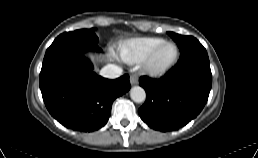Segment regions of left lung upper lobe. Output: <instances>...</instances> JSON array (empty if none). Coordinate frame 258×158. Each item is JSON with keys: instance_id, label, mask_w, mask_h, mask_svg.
Instances as JSON below:
<instances>
[{"instance_id": "left-lung-upper-lobe-1", "label": "left lung upper lobe", "mask_w": 258, "mask_h": 158, "mask_svg": "<svg viewBox=\"0 0 258 158\" xmlns=\"http://www.w3.org/2000/svg\"><path fill=\"white\" fill-rule=\"evenodd\" d=\"M169 36L177 43L179 50L182 52L188 48L191 44L198 40L192 36H183L173 32H167Z\"/></svg>"}]
</instances>
